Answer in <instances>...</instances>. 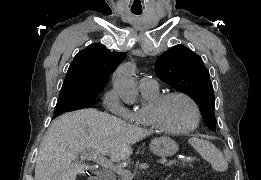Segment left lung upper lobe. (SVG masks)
Segmentation results:
<instances>
[{
  "label": "left lung upper lobe",
  "mask_w": 261,
  "mask_h": 180,
  "mask_svg": "<svg viewBox=\"0 0 261 180\" xmlns=\"http://www.w3.org/2000/svg\"><path fill=\"white\" fill-rule=\"evenodd\" d=\"M156 74L166 84L191 97L207 127L215 131V100L209 71L202 59L182 45L164 52L156 62Z\"/></svg>",
  "instance_id": "1"
}]
</instances>
